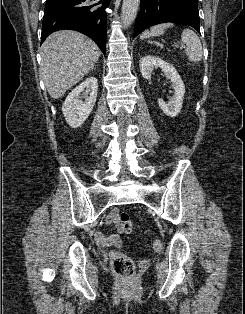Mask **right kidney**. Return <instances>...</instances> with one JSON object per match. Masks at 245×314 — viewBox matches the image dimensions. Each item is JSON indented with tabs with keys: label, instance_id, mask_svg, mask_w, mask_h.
<instances>
[{
	"label": "right kidney",
	"instance_id": "ca27d5eb",
	"mask_svg": "<svg viewBox=\"0 0 245 314\" xmlns=\"http://www.w3.org/2000/svg\"><path fill=\"white\" fill-rule=\"evenodd\" d=\"M97 91V79L89 77L69 93L63 103L62 112L70 127L78 128L86 121L95 105ZM81 93L85 101L79 99Z\"/></svg>",
	"mask_w": 245,
	"mask_h": 314
}]
</instances>
